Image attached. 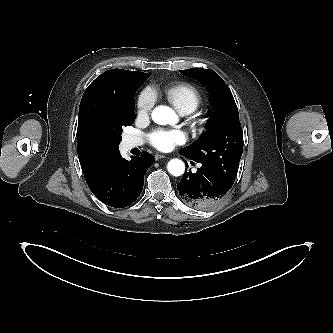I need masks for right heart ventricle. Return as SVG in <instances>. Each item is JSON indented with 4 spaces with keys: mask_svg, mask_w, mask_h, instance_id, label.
<instances>
[{
    "mask_svg": "<svg viewBox=\"0 0 333 333\" xmlns=\"http://www.w3.org/2000/svg\"><path fill=\"white\" fill-rule=\"evenodd\" d=\"M166 96L179 112L186 114L196 110L202 102L198 89L187 83L169 87Z\"/></svg>",
    "mask_w": 333,
    "mask_h": 333,
    "instance_id": "obj_1",
    "label": "right heart ventricle"
}]
</instances>
